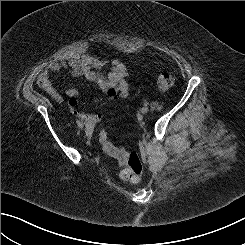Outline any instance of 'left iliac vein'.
Instances as JSON below:
<instances>
[{"mask_svg": "<svg viewBox=\"0 0 245 245\" xmlns=\"http://www.w3.org/2000/svg\"><path fill=\"white\" fill-rule=\"evenodd\" d=\"M140 111H141V113L146 114L149 112V108L148 107H142Z\"/></svg>", "mask_w": 245, "mask_h": 245, "instance_id": "4c4485c4", "label": "left iliac vein"}]
</instances>
